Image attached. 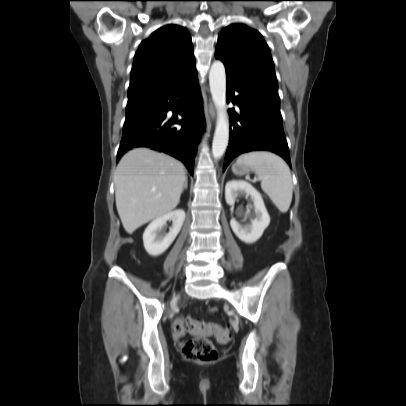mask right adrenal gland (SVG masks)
<instances>
[{"label":"right adrenal gland","instance_id":"2a0ac1e0","mask_svg":"<svg viewBox=\"0 0 406 406\" xmlns=\"http://www.w3.org/2000/svg\"><path fill=\"white\" fill-rule=\"evenodd\" d=\"M187 187H188V179H187V176L185 177V182H184V186H183V190L184 189H187ZM182 190V191H183Z\"/></svg>","mask_w":406,"mask_h":406}]
</instances>
